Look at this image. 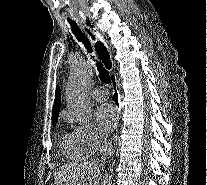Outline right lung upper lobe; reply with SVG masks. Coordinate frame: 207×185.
Masks as SVG:
<instances>
[{"label":"right lung upper lobe","mask_w":207,"mask_h":185,"mask_svg":"<svg viewBox=\"0 0 207 185\" xmlns=\"http://www.w3.org/2000/svg\"><path fill=\"white\" fill-rule=\"evenodd\" d=\"M60 105H61V95H60V88L57 86L56 92H55V102L53 106V113H52V123L55 125L58 120L59 111H60Z\"/></svg>","instance_id":"right-lung-upper-lobe-1"}]
</instances>
